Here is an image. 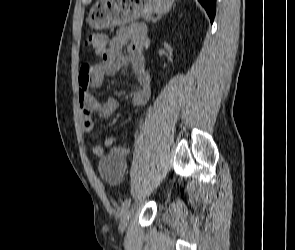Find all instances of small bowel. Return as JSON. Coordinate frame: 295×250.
<instances>
[{
	"label": "small bowel",
	"mask_w": 295,
	"mask_h": 250,
	"mask_svg": "<svg viewBox=\"0 0 295 250\" xmlns=\"http://www.w3.org/2000/svg\"><path fill=\"white\" fill-rule=\"evenodd\" d=\"M104 37V36H103ZM97 52L101 56L98 63L83 62L80 66L78 78V97L80 103L81 123L85 133H91L94 128L92 114H97L102 120H108L119 108L114 98L99 100L92 95L91 90L98 88L108 75L122 69L129 68L136 79L130 100L133 106L141 108L146 104L151 92V77L145 66L143 50L148 44L146 29L141 25H131L120 28L114 36L107 41ZM127 46V53L123 48ZM105 147L110 148L114 154L125 155L126 148L116 145V140L109 137L105 140ZM95 156L103 155V147L95 145L92 149Z\"/></svg>",
	"instance_id": "1"
}]
</instances>
